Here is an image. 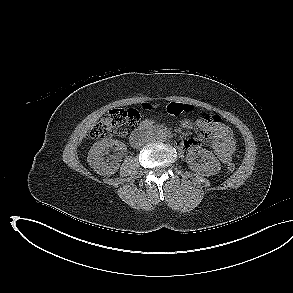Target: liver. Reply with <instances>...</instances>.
Wrapping results in <instances>:
<instances>
[{
    "label": "liver",
    "instance_id": "liver-1",
    "mask_svg": "<svg viewBox=\"0 0 293 293\" xmlns=\"http://www.w3.org/2000/svg\"><path fill=\"white\" fill-rule=\"evenodd\" d=\"M104 111H101L97 114H93L83 126L80 133V141L86 136L87 131L99 120V118L103 115Z\"/></svg>",
    "mask_w": 293,
    "mask_h": 293
}]
</instances>
